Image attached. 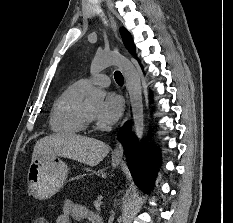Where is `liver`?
Here are the masks:
<instances>
[{"mask_svg": "<svg viewBox=\"0 0 233 223\" xmlns=\"http://www.w3.org/2000/svg\"><path fill=\"white\" fill-rule=\"evenodd\" d=\"M41 153H48V155L54 153L60 157H69V159H76L84 165L93 167L109 153V145L100 139L76 135V133H54V135L42 137L35 143L32 161ZM99 171L103 173V169Z\"/></svg>", "mask_w": 233, "mask_h": 223, "instance_id": "6515ba94", "label": "liver"}]
</instances>
